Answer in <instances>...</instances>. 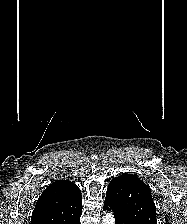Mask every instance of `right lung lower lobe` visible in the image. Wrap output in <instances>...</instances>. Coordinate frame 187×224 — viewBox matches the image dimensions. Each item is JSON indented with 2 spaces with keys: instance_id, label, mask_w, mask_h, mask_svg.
I'll return each mask as SVG.
<instances>
[{
  "instance_id": "1",
  "label": "right lung lower lobe",
  "mask_w": 187,
  "mask_h": 224,
  "mask_svg": "<svg viewBox=\"0 0 187 224\" xmlns=\"http://www.w3.org/2000/svg\"><path fill=\"white\" fill-rule=\"evenodd\" d=\"M80 216L81 213L75 216L73 219H71L70 222H68V224H80Z\"/></svg>"
}]
</instances>
